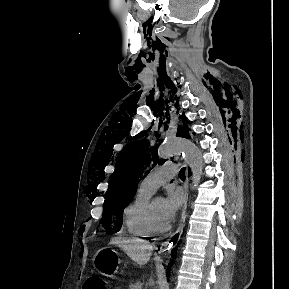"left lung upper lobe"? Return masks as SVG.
I'll return each mask as SVG.
<instances>
[{
  "label": "left lung upper lobe",
  "instance_id": "obj_1",
  "mask_svg": "<svg viewBox=\"0 0 289 289\" xmlns=\"http://www.w3.org/2000/svg\"><path fill=\"white\" fill-rule=\"evenodd\" d=\"M177 136L189 138L186 125L178 129ZM149 142L144 140L128 143L117 159L116 169L111 176L110 187L105 195L103 217L100 220L109 233L121 228L122 214L134 195V190L143 174V169L158 162L157 147L149 151ZM160 161L159 163H162Z\"/></svg>",
  "mask_w": 289,
  "mask_h": 289
}]
</instances>
